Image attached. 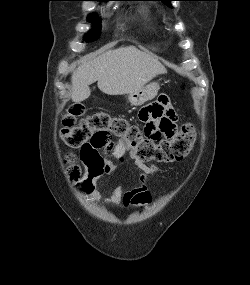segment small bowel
Segmentation results:
<instances>
[{
    "label": "small bowel",
    "mask_w": 250,
    "mask_h": 285,
    "mask_svg": "<svg viewBox=\"0 0 250 285\" xmlns=\"http://www.w3.org/2000/svg\"><path fill=\"white\" fill-rule=\"evenodd\" d=\"M139 118L143 122L142 133L145 141H156V144H161V141L169 140L168 136H176L178 133V128L175 126V111L166 98H161L143 107L139 112ZM128 149L127 143L119 140L113 155L122 161ZM98 150L99 148L81 149L80 157L86 167V173L78 183V189L82 194L101 201L102 198L95 192V183L101 175L114 171L115 167L102 158ZM131 156L142 170L139 187L129 191H125L120 186L115 188L112 195L103 200L106 204L119 207L145 206L152 201L147 180L159 168L156 165L147 166L133 155Z\"/></svg>",
    "instance_id": "1"
}]
</instances>
